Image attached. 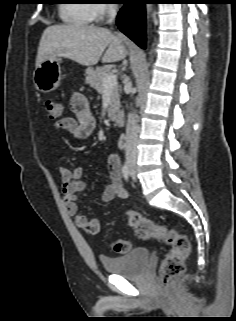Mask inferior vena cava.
<instances>
[{
	"label": "inferior vena cava",
	"mask_w": 236,
	"mask_h": 321,
	"mask_svg": "<svg viewBox=\"0 0 236 321\" xmlns=\"http://www.w3.org/2000/svg\"><path fill=\"white\" fill-rule=\"evenodd\" d=\"M109 23H112L116 16V8L109 5L107 8ZM137 122L133 114L129 113L126 125L125 154L127 158H136L137 155Z\"/></svg>",
	"instance_id": "602c4592"
}]
</instances>
